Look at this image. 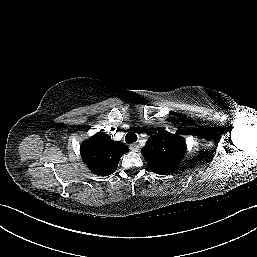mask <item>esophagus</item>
<instances>
[{"instance_id":"1","label":"esophagus","mask_w":257,"mask_h":257,"mask_svg":"<svg viewBox=\"0 0 257 257\" xmlns=\"http://www.w3.org/2000/svg\"><path fill=\"white\" fill-rule=\"evenodd\" d=\"M129 148H130V150L137 152L139 150V145L136 143H132V144H130Z\"/></svg>"}]
</instances>
